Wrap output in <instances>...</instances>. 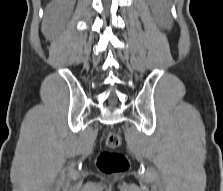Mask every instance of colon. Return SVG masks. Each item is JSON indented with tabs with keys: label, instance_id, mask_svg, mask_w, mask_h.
Wrapping results in <instances>:
<instances>
[{
	"label": "colon",
	"instance_id": "1",
	"mask_svg": "<svg viewBox=\"0 0 223 191\" xmlns=\"http://www.w3.org/2000/svg\"><path fill=\"white\" fill-rule=\"evenodd\" d=\"M122 139L117 133H109L106 138V148L100 151L97 157V167L104 174H121L128 170L127 157L118 152Z\"/></svg>",
	"mask_w": 223,
	"mask_h": 191
}]
</instances>
